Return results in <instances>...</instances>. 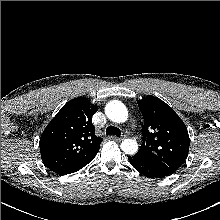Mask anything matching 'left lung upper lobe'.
<instances>
[{"instance_id":"1","label":"left lung upper lobe","mask_w":220,"mask_h":220,"mask_svg":"<svg viewBox=\"0 0 220 220\" xmlns=\"http://www.w3.org/2000/svg\"><path fill=\"white\" fill-rule=\"evenodd\" d=\"M144 118L143 142L136 155L174 173L185 162L190 146L187 127L176 112L159 98L137 100Z\"/></svg>"}]
</instances>
